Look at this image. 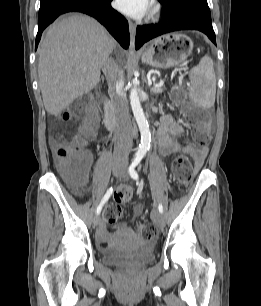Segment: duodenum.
<instances>
[{
	"mask_svg": "<svg viewBox=\"0 0 261 306\" xmlns=\"http://www.w3.org/2000/svg\"><path fill=\"white\" fill-rule=\"evenodd\" d=\"M104 124L108 130L116 128L115 106L110 100L106 101L104 106Z\"/></svg>",
	"mask_w": 261,
	"mask_h": 306,
	"instance_id": "obj_1",
	"label": "duodenum"
}]
</instances>
